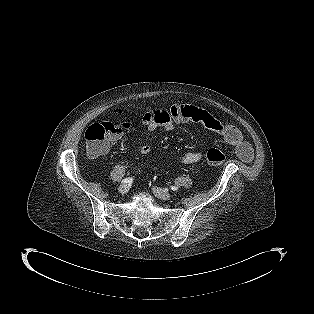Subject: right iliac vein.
Returning a JSON list of instances; mask_svg holds the SVG:
<instances>
[{"mask_svg": "<svg viewBox=\"0 0 314 314\" xmlns=\"http://www.w3.org/2000/svg\"><path fill=\"white\" fill-rule=\"evenodd\" d=\"M129 190V187L126 184H122L119 186L118 191L121 194H126Z\"/></svg>", "mask_w": 314, "mask_h": 314, "instance_id": "right-iliac-vein-1", "label": "right iliac vein"}]
</instances>
